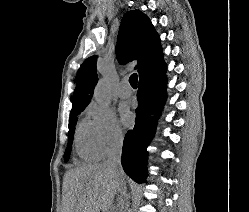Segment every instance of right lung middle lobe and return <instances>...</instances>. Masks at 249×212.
<instances>
[{
  "label": "right lung middle lobe",
  "instance_id": "dd1d6c3e",
  "mask_svg": "<svg viewBox=\"0 0 249 212\" xmlns=\"http://www.w3.org/2000/svg\"><path fill=\"white\" fill-rule=\"evenodd\" d=\"M84 109H77L71 110L70 118H69V132H68V144L64 154V160L67 162L70 158L71 153V146L73 141V135L75 131V125L77 122V116L83 111Z\"/></svg>",
  "mask_w": 249,
  "mask_h": 212
}]
</instances>
